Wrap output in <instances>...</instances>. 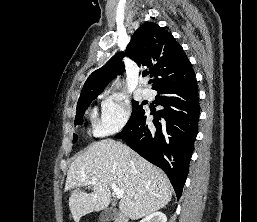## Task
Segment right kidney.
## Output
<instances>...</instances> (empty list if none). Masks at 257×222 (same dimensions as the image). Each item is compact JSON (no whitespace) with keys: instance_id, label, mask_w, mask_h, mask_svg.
Returning a JSON list of instances; mask_svg holds the SVG:
<instances>
[{"instance_id":"1","label":"right kidney","mask_w":257,"mask_h":222,"mask_svg":"<svg viewBox=\"0 0 257 222\" xmlns=\"http://www.w3.org/2000/svg\"><path fill=\"white\" fill-rule=\"evenodd\" d=\"M140 222H167V217L162 212H154L146 216Z\"/></svg>"}]
</instances>
